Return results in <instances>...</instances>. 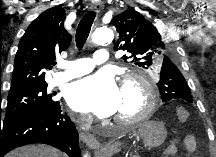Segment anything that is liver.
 Here are the masks:
<instances>
[{"instance_id": "obj_1", "label": "liver", "mask_w": 216, "mask_h": 157, "mask_svg": "<svg viewBox=\"0 0 216 157\" xmlns=\"http://www.w3.org/2000/svg\"><path fill=\"white\" fill-rule=\"evenodd\" d=\"M6 157H65V154L53 147L39 144L17 148Z\"/></svg>"}]
</instances>
